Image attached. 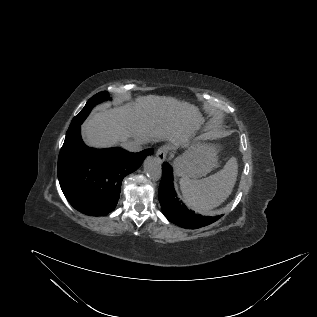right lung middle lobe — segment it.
I'll use <instances>...</instances> for the list:
<instances>
[{
	"label": "right lung middle lobe",
	"mask_w": 317,
	"mask_h": 317,
	"mask_svg": "<svg viewBox=\"0 0 317 317\" xmlns=\"http://www.w3.org/2000/svg\"><path fill=\"white\" fill-rule=\"evenodd\" d=\"M108 99H110V97L107 91L100 92L91 97L86 103L85 107L81 110V112L72 120L66 135H68L72 130H74L85 120V118L88 116V114L96 104Z\"/></svg>",
	"instance_id": "dd1d6c3e"
}]
</instances>
